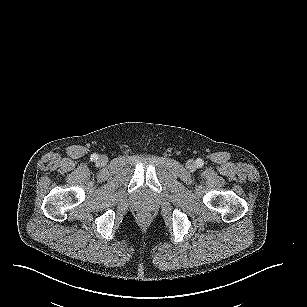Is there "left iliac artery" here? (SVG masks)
Segmentation results:
<instances>
[{"label": "left iliac artery", "instance_id": "obj_1", "mask_svg": "<svg viewBox=\"0 0 307 307\" xmlns=\"http://www.w3.org/2000/svg\"><path fill=\"white\" fill-rule=\"evenodd\" d=\"M196 164H197L198 167H202L204 165V161L201 158H198L196 160Z\"/></svg>", "mask_w": 307, "mask_h": 307}]
</instances>
